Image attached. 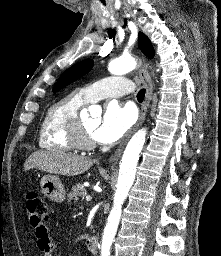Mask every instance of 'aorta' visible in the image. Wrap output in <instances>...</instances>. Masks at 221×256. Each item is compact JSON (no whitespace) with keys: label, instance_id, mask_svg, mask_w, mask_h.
Returning <instances> with one entry per match:
<instances>
[{"label":"aorta","instance_id":"aorta-1","mask_svg":"<svg viewBox=\"0 0 221 256\" xmlns=\"http://www.w3.org/2000/svg\"><path fill=\"white\" fill-rule=\"evenodd\" d=\"M136 67V61L131 57H119L112 60L108 70L113 75L126 74ZM146 129H140L128 142L124 151L114 194L113 207L109 214L101 245V256H110V248L115 237L122 213V205L132 187L139 156L146 139Z\"/></svg>","mask_w":221,"mask_h":256}]
</instances>
